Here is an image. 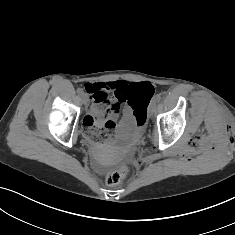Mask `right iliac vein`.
Masks as SVG:
<instances>
[{
    "label": "right iliac vein",
    "instance_id": "63e3f726",
    "mask_svg": "<svg viewBox=\"0 0 235 235\" xmlns=\"http://www.w3.org/2000/svg\"><path fill=\"white\" fill-rule=\"evenodd\" d=\"M82 102H83L84 105H87V104H88V97H87L86 94H83V95H82Z\"/></svg>",
    "mask_w": 235,
    "mask_h": 235
}]
</instances>
